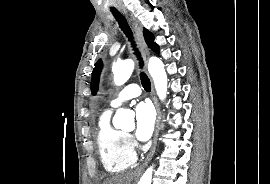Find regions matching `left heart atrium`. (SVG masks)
Masks as SVG:
<instances>
[{"label": "left heart atrium", "instance_id": "39dd6f15", "mask_svg": "<svg viewBox=\"0 0 270 184\" xmlns=\"http://www.w3.org/2000/svg\"><path fill=\"white\" fill-rule=\"evenodd\" d=\"M136 137L141 141H147L153 134L155 124V112L147 102H141L135 109Z\"/></svg>", "mask_w": 270, "mask_h": 184}]
</instances>
